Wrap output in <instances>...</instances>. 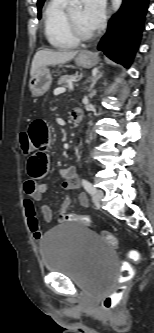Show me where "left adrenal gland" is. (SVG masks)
I'll list each match as a JSON object with an SVG mask.
<instances>
[{
  "label": "left adrenal gland",
  "mask_w": 154,
  "mask_h": 333,
  "mask_svg": "<svg viewBox=\"0 0 154 333\" xmlns=\"http://www.w3.org/2000/svg\"><path fill=\"white\" fill-rule=\"evenodd\" d=\"M102 77V72H98L94 77H92L90 90L93 89L94 85L97 83V81Z\"/></svg>",
  "instance_id": "obj_1"
}]
</instances>
